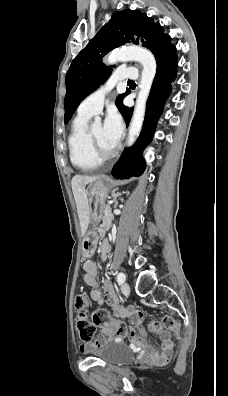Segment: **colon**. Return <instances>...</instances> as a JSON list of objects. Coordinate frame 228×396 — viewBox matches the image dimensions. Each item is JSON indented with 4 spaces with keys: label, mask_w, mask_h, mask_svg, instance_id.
<instances>
[{
    "label": "colon",
    "mask_w": 228,
    "mask_h": 396,
    "mask_svg": "<svg viewBox=\"0 0 228 396\" xmlns=\"http://www.w3.org/2000/svg\"><path fill=\"white\" fill-rule=\"evenodd\" d=\"M86 303L83 296L77 298V306L81 308ZM95 326L110 327L118 336H125L128 332L127 325L122 321H115L111 318L110 314L105 309H96L91 321L84 316H79L77 319V327L79 329L80 337L84 341H89L93 338L95 333ZM165 328L175 335L180 332L179 323L171 316H164L160 321H151L149 329L151 332L160 334L162 329Z\"/></svg>",
    "instance_id": "1"
}]
</instances>
